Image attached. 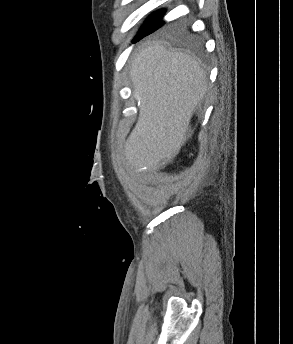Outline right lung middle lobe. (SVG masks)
Returning <instances> with one entry per match:
<instances>
[{"label": "right lung middle lobe", "instance_id": "obj_1", "mask_svg": "<svg viewBox=\"0 0 293 344\" xmlns=\"http://www.w3.org/2000/svg\"><path fill=\"white\" fill-rule=\"evenodd\" d=\"M161 15H162V11L153 14L150 17V19L146 22L144 27L140 30L136 39H140L144 37L145 35H148L151 32L155 31L159 27H161L163 25V22L160 21ZM181 34L187 39H192L191 36L186 32L181 31Z\"/></svg>", "mask_w": 293, "mask_h": 344}]
</instances>
